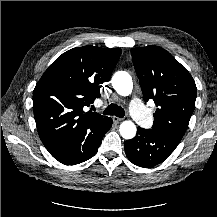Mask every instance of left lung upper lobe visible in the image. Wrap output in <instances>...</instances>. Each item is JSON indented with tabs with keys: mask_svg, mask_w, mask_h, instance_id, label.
Instances as JSON below:
<instances>
[{
	"mask_svg": "<svg viewBox=\"0 0 217 217\" xmlns=\"http://www.w3.org/2000/svg\"><path fill=\"white\" fill-rule=\"evenodd\" d=\"M143 99L157 105L152 129L180 141L196 100L190 73L165 49L150 45L131 50Z\"/></svg>",
	"mask_w": 217,
	"mask_h": 217,
	"instance_id": "5c2ea615",
	"label": "left lung upper lobe"
}]
</instances>
